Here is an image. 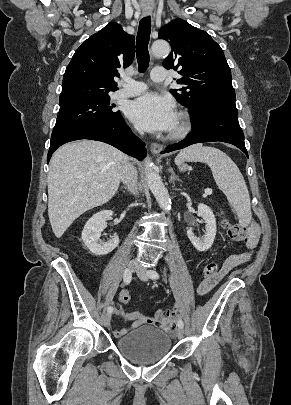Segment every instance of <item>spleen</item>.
Here are the masks:
<instances>
[{"instance_id": "spleen-1", "label": "spleen", "mask_w": 291, "mask_h": 405, "mask_svg": "<svg viewBox=\"0 0 291 405\" xmlns=\"http://www.w3.org/2000/svg\"><path fill=\"white\" fill-rule=\"evenodd\" d=\"M183 162H203L212 171L216 184L226 195L243 225L251 220L249 192L237 165L221 150L196 144L182 150L175 158L177 165Z\"/></svg>"}]
</instances>
